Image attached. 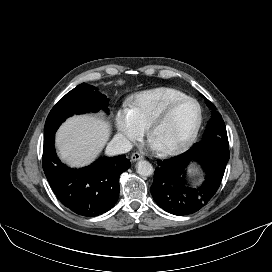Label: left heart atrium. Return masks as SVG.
Masks as SVG:
<instances>
[{"label": "left heart atrium", "instance_id": "39dd6f15", "mask_svg": "<svg viewBox=\"0 0 272 272\" xmlns=\"http://www.w3.org/2000/svg\"><path fill=\"white\" fill-rule=\"evenodd\" d=\"M152 146H153L154 148L158 149V147H157L155 144H153V143H152Z\"/></svg>", "mask_w": 272, "mask_h": 272}]
</instances>
